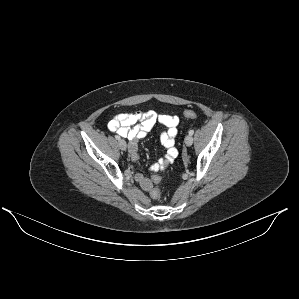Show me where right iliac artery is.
I'll list each match as a JSON object with an SVG mask.
<instances>
[{
    "instance_id": "82829eb1",
    "label": "right iliac artery",
    "mask_w": 299,
    "mask_h": 299,
    "mask_svg": "<svg viewBox=\"0 0 299 299\" xmlns=\"http://www.w3.org/2000/svg\"><path fill=\"white\" fill-rule=\"evenodd\" d=\"M115 138H116L117 140H120V136H118V135H115Z\"/></svg>"
}]
</instances>
